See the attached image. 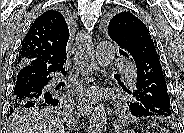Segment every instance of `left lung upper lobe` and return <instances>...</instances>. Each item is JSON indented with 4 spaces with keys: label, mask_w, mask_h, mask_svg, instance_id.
I'll use <instances>...</instances> for the list:
<instances>
[{
    "label": "left lung upper lobe",
    "mask_w": 184,
    "mask_h": 133,
    "mask_svg": "<svg viewBox=\"0 0 184 133\" xmlns=\"http://www.w3.org/2000/svg\"><path fill=\"white\" fill-rule=\"evenodd\" d=\"M108 35L119 45V53L136 62L144 56L159 61L155 45L146 25L135 15L128 11H119L109 21ZM130 102L133 97L130 91Z\"/></svg>",
    "instance_id": "5c2ea615"
}]
</instances>
